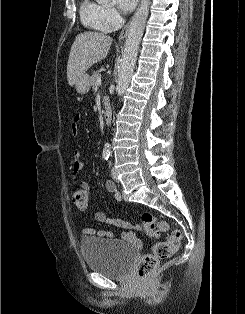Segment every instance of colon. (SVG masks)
<instances>
[{
    "mask_svg": "<svg viewBox=\"0 0 245 314\" xmlns=\"http://www.w3.org/2000/svg\"><path fill=\"white\" fill-rule=\"evenodd\" d=\"M71 200L75 206L84 209L88 206L89 192L84 189H77L72 192ZM142 224L139 229L147 235L158 238L160 233L170 231V225L167 221L158 219L150 212L142 214ZM182 234L178 230L171 232L166 241L156 242L150 253L145 254L137 265V272L140 279L148 277L157 267L160 259L170 258L176 253L181 245Z\"/></svg>",
    "mask_w": 245,
    "mask_h": 314,
    "instance_id": "1",
    "label": "colon"
}]
</instances>
